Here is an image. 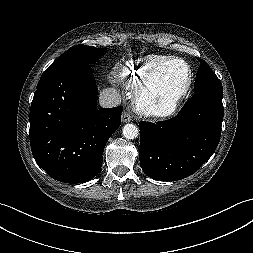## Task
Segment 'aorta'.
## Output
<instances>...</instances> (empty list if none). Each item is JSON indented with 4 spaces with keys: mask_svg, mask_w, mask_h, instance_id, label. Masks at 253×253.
<instances>
[{
    "mask_svg": "<svg viewBox=\"0 0 253 253\" xmlns=\"http://www.w3.org/2000/svg\"><path fill=\"white\" fill-rule=\"evenodd\" d=\"M123 136L126 138V139H135L137 136H138V128L136 125L134 124H126L123 129Z\"/></svg>",
    "mask_w": 253,
    "mask_h": 253,
    "instance_id": "aorta-1",
    "label": "aorta"
}]
</instances>
